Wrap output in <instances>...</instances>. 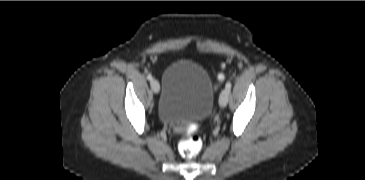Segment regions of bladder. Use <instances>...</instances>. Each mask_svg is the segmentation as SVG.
<instances>
[{"label": "bladder", "instance_id": "31cf9c89", "mask_svg": "<svg viewBox=\"0 0 365 180\" xmlns=\"http://www.w3.org/2000/svg\"><path fill=\"white\" fill-rule=\"evenodd\" d=\"M214 100L215 88L205 68L193 60H178L164 71L157 116L171 125L204 119L211 113Z\"/></svg>", "mask_w": 365, "mask_h": 180}]
</instances>
